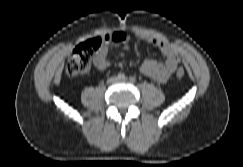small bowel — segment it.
Here are the masks:
<instances>
[{
    "mask_svg": "<svg viewBox=\"0 0 243 167\" xmlns=\"http://www.w3.org/2000/svg\"><path fill=\"white\" fill-rule=\"evenodd\" d=\"M131 37L132 34L124 31H115L105 34L103 36L104 43L94 58L95 67L103 71L110 66V56L114 55V45H122L119 55L123 56L125 51L129 48ZM141 38L147 43L157 47L165 57L164 62L153 59L145 60L141 66V72L159 83L166 82L176 71L180 63L176 49L172 45L154 36L141 35Z\"/></svg>",
    "mask_w": 243,
    "mask_h": 167,
    "instance_id": "1",
    "label": "small bowel"
}]
</instances>
